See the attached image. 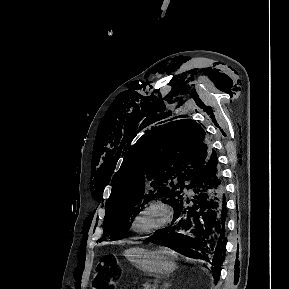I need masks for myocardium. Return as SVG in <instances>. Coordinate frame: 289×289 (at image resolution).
I'll list each match as a JSON object with an SVG mask.
<instances>
[{
  "label": "myocardium",
  "instance_id": "myocardium-1",
  "mask_svg": "<svg viewBox=\"0 0 289 289\" xmlns=\"http://www.w3.org/2000/svg\"><path fill=\"white\" fill-rule=\"evenodd\" d=\"M153 208H156V209H159L162 211V214H163V220L162 222L157 225L156 227H153L152 229H149V230H140L137 228V222L138 220L140 219V217L145 213L147 212L148 210L150 209H153ZM172 216H173V211H172V208L170 207V205L162 200H152L148 203H146L139 211L138 213L135 215L134 219H133V222H132V230L134 232H136L137 234H140V235H152L158 231H161L163 229H165L171 222V219H172Z\"/></svg>",
  "mask_w": 289,
  "mask_h": 289
}]
</instances>
